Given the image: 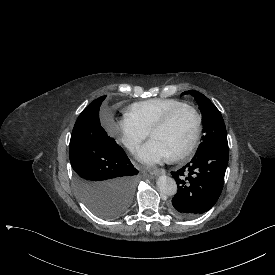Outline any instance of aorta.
<instances>
[{
  "instance_id": "aorta-1",
  "label": "aorta",
  "mask_w": 275,
  "mask_h": 275,
  "mask_svg": "<svg viewBox=\"0 0 275 275\" xmlns=\"http://www.w3.org/2000/svg\"><path fill=\"white\" fill-rule=\"evenodd\" d=\"M156 183L162 195L172 196L175 195L177 192L176 182L171 177L161 175L159 176Z\"/></svg>"
}]
</instances>
